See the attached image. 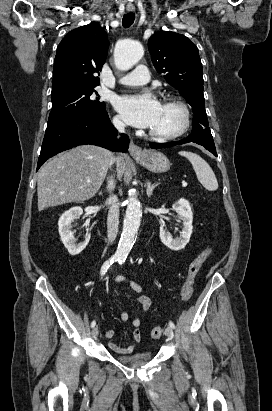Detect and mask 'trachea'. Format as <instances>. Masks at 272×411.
Wrapping results in <instances>:
<instances>
[{
    "label": "trachea",
    "mask_w": 272,
    "mask_h": 411,
    "mask_svg": "<svg viewBox=\"0 0 272 411\" xmlns=\"http://www.w3.org/2000/svg\"><path fill=\"white\" fill-rule=\"evenodd\" d=\"M134 20H135V14L134 13L130 12V13L125 14L123 16V21H122L123 27L124 28L130 27L133 24Z\"/></svg>",
    "instance_id": "1"
}]
</instances>
